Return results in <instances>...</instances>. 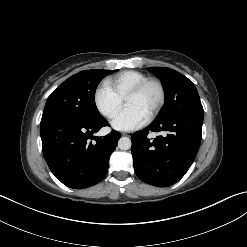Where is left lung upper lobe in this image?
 Returning a JSON list of instances; mask_svg holds the SVG:
<instances>
[{
    "mask_svg": "<svg viewBox=\"0 0 247 247\" xmlns=\"http://www.w3.org/2000/svg\"><path fill=\"white\" fill-rule=\"evenodd\" d=\"M163 83L166 99L165 105L153 122H162L176 114L203 115V107L195 85L179 72L165 67H149Z\"/></svg>",
    "mask_w": 247,
    "mask_h": 247,
    "instance_id": "5c2ea615",
    "label": "left lung upper lobe"
}]
</instances>
